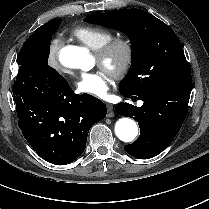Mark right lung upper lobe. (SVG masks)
I'll list each match as a JSON object with an SVG mask.
<instances>
[{
  "label": "right lung upper lobe",
  "mask_w": 209,
  "mask_h": 209,
  "mask_svg": "<svg viewBox=\"0 0 209 209\" xmlns=\"http://www.w3.org/2000/svg\"><path fill=\"white\" fill-rule=\"evenodd\" d=\"M52 21H53V20L47 22L46 24L40 26V27H39L38 29H36V30H43V29L47 28V27L52 23ZM36 30H35V31H36Z\"/></svg>",
  "instance_id": "cb5924a9"
}]
</instances>
